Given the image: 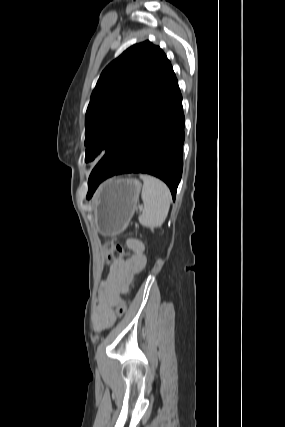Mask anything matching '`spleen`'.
<instances>
[{
  "label": "spleen",
  "instance_id": "1",
  "mask_svg": "<svg viewBox=\"0 0 285 427\" xmlns=\"http://www.w3.org/2000/svg\"><path fill=\"white\" fill-rule=\"evenodd\" d=\"M140 178L144 183L141 194L144 210L138 220L145 227L160 226L169 212L170 190L164 182L153 176L140 175Z\"/></svg>",
  "mask_w": 285,
  "mask_h": 427
}]
</instances>
